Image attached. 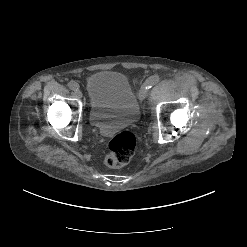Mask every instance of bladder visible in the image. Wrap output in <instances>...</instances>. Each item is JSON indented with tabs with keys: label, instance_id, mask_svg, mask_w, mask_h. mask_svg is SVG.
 Listing matches in <instances>:
<instances>
[{
	"label": "bladder",
	"instance_id": "1",
	"mask_svg": "<svg viewBox=\"0 0 247 247\" xmlns=\"http://www.w3.org/2000/svg\"><path fill=\"white\" fill-rule=\"evenodd\" d=\"M88 116L102 134H110L132 124L139 114L137 95L122 73L101 71L87 80Z\"/></svg>",
	"mask_w": 247,
	"mask_h": 247
}]
</instances>
